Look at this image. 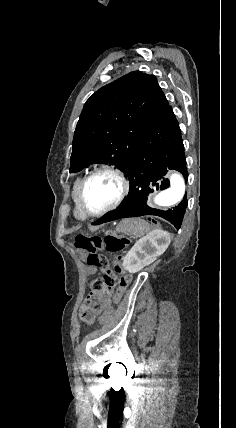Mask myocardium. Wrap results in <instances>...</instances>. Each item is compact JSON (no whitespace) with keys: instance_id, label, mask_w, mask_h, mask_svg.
Returning a JSON list of instances; mask_svg holds the SVG:
<instances>
[{"instance_id":"f54148a6","label":"myocardium","mask_w":236,"mask_h":428,"mask_svg":"<svg viewBox=\"0 0 236 428\" xmlns=\"http://www.w3.org/2000/svg\"><path fill=\"white\" fill-rule=\"evenodd\" d=\"M101 174H109V175L116 177L121 184V192H120L118 198L115 200L114 203H112L111 205H109L108 207H106L102 210L94 211V210H91L88 207V205L86 204L84 192H85V187H86L87 183L92 178H94L98 175H101ZM130 189H131V183H130V181H129V179H128V177H127V175L123 169H121L120 167H117L115 165L104 164V165H101V166L93 169L92 171H90L81 180L80 185H79V190H78L79 203H80L82 210L88 216H102V215H105L109 212L116 210L123 203V201L126 199V197L128 196V194L130 192Z\"/></svg>"}]
</instances>
